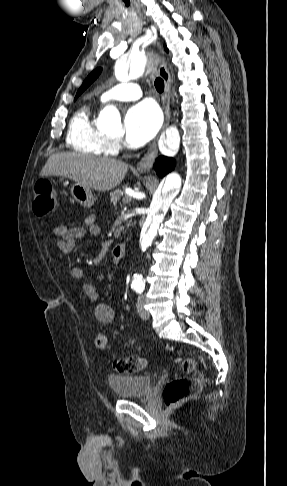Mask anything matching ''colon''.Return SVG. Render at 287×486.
Masks as SVG:
<instances>
[{"mask_svg":"<svg viewBox=\"0 0 287 486\" xmlns=\"http://www.w3.org/2000/svg\"><path fill=\"white\" fill-rule=\"evenodd\" d=\"M57 203L56 191L52 183L47 179H41L34 186L33 210L38 216H46L51 213ZM96 349L105 351L108 349V339L103 332H97L94 337ZM113 369L119 373H134L145 368L146 360L141 356H130L115 359ZM185 376L175 378L168 382L163 391L165 404L174 407L179 403L195 395L201 386V380L197 373L194 360L186 358L183 361Z\"/></svg>","mask_w":287,"mask_h":486,"instance_id":"colon-1","label":"colon"}]
</instances>
